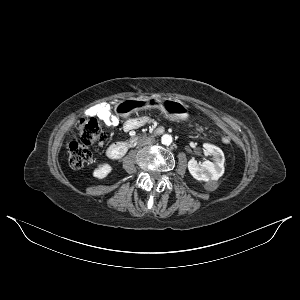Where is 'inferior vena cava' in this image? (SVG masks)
Wrapping results in <instances>:
<instances>
[{
    "label": "inferior vena cava",
    "mask_w": 300,
    "mask_h": 300,
    "mask_svg": "<svg viewBox=\"0 0 300 300\" xmlns=\"http://www.w3.org/2000/svg\"><path fill=\"white\" fill-rule=\"evenodd\" d=\"M139 145L142 146V147H147V146H151V145H154L156 143V140L154 137H149V138H142L139 140Z\"/></svg>",
    "instance_id": "1"
}]
</instances>
